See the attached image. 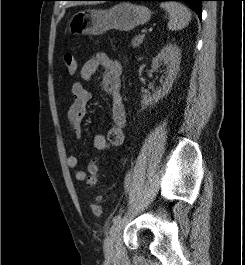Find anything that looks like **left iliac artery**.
Here are the masks:
<instances>
[{
  "label": "left iliac artery",
  "mask_w": 245,
  "mask_h": 265,
  "mask_svg": "<svg viewBox=\"0 0 245 265\" xmlns=\"http://www.w3.org/2000/svg\"><path fill=\"white\" fill-rule=\"evenodd\" d=\"M131 172L132 171H128V173L126 174V177H125V181H124V183H125V190H127V192L129 190V185H130V182H131ZM120 219H121V213L118 214V215H116L113 218V222H116V221H118Z\"/></svg>",
  "instance_id": "1"
}]
</instances>
